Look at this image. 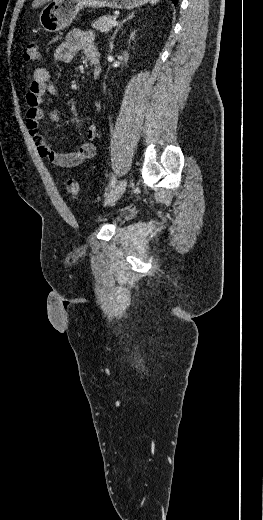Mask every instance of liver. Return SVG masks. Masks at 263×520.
Returning <instances> with one entry per match:
<instances>
[{
	"mask_svg": "<svg viewBox=\"0 0 263 520\" xmlns=\"http://www.w3.org/2000/svg\"><path fill=\"white\" fill-rule=\"evenodd\" d=\"M51 0H34L33 3H32V7L33 8H37L47 2H50Z\"/></svg>",
	"mask_w": 263,
	"mask_h": 520,
	"instance_id": "1",
	"label": "liver"
}]
</instances>
